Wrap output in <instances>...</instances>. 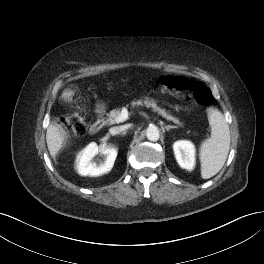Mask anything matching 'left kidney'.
Here are the masks:
<instances>
[{
  "label": "left kidney",
  "instance_id": "left-kidney-1",
  "mask_svg": "<svg viewBox=\"0 0 264 264\" xmlns=\"http://www.w3.org/2000/svg\"><path fill=\"white\" fill-rule=\"evenodd\" d=\"M175 158L180 167L189 171L195 166V146L188 140H179L173 144Z\"/></svg>",
  "mask_w": 264,
  "mask_h": 264
}]
</instances>
